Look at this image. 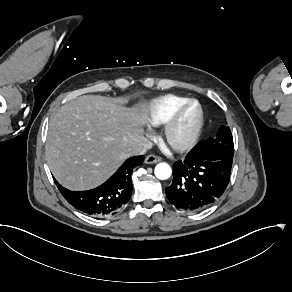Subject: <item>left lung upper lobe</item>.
Instances as JSON below:
<instances>
[{"mask_svg":"<svg viewBox=\"0 0 292 292\" xmlns=\"http://www.w3.org/2000/svg\"><path fill=\"white\" fill-rule=\"evenodd\" d=\"M197 152L199 154H217L233 157V137L228 126H221L214 138L199 142Z\"/></svg>","mask_w":292,"mask_h":292,"instance_id":"5c2ea615","label":"left lung upper lobe"}]
</instances>
